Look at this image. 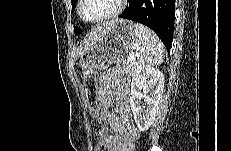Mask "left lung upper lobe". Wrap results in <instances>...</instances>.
<instances>
[{"mask_svg":"<svg viewBox=\"0 0 231 151\" xmlns=\"http://www.w3.org/2000/svg\"><path fill=\"white\" fill-rule=\"evenodd\" d=\"M71 2H72V9H74L75 6H76L77 0H71ZM128 2H129V5L127 7L133 5V3L135 2V0H128ZM81 32H82V29H80L78 27H75V34H79Z\"/></svg>","mask_w":231,"mask_h":151,"instance_id":"5c2ea615","label":"left lung upper lobe"}]
</instances>
